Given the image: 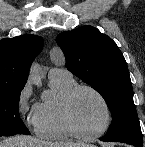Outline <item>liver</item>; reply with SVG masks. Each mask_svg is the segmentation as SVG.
Wrapping results in <instances>:
<instances>
[{
  "mask_svg": "<svg viewBox=\"0 0 145 147\" xmlns=\"http://www.w3.org/2000/svg\"><path fill=\"white\" fill-rule=\"evenodd\" d=\"M0 147H93L81 142H49L25 135H17L0 141Z\"/></svg>",
  "mask_w": 145,
  "mask_h": 147,
  "instance_id": "1",
  "label": "liver"
}]
</instances>
